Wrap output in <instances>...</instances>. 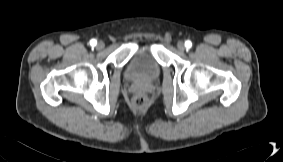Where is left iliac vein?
Returning a JSON list of instances; mask_svg holds the SVG:
<instances>
[{"instance_id": "obj_1", "label": "left iliac vein", "mask_w": 283, "mask_h": 162, "mask_svg": "<svg viewBox=\"0 0 283 162\" xmlns=\"http://www.w3.org/2000/svg\"><path fill=\"white\" fill-rule=\"evenodd\" d=\"M177 49H178L179 51H184V50H185V44H184L183 41H178V43H177Z\"/></svg>"}]
</instances>
